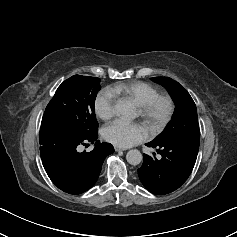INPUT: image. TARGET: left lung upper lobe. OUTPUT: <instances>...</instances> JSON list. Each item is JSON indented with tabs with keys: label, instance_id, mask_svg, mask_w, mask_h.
Wrapping results in <instances>:
<instances>
[{
	"label": "left lung upper lobe",
	"instance_id": "5c2ea615",
	"mask_svg": "<svg viewBox=\"0 0 237 237\" xmlns=\"http://www.w3.org/2000/svg\"><path fill=\"white\" fill-rule=\"evenodd\" d=\"M152 81L163 85L175 103V112L167 124L152 142H200V130L196 105L187 90L169 77H153Z\"/></svg>",
	"mask_w": 237,
	"mask_h": 237
}]
</instances>
